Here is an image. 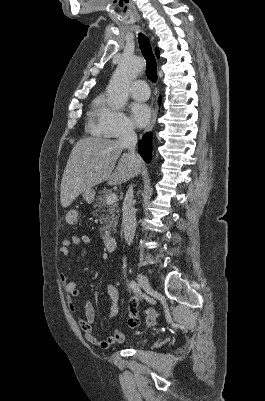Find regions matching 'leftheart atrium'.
I'll return each mask as SVG.
<instances>
[{
    "instance_id": "39dd6f15",
    "label": "left heart atrium",
    "mask_w": 265,
    "mask_h": 401,
    "mask_svg": "<svg viewBox=\"0 0 265 401\" xmlns=\"http://www.w3.org/2000/svg\"><path fill=\"white\" fill-rule=\"evenodd\" d=\"M129 111L132 120L136 125L141 127L148 123L151 112L147 104L140 101H134L129 105Z\"/></svg>"
}]
</instances>
